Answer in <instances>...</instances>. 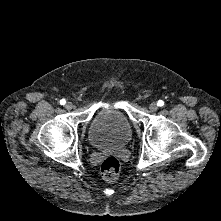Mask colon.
I'll use <instances>...</instances> for the list:
<instances>
[{"instance_id": "5ec220e1", "label": "colon", "mask_w": 221, "mask_h": 221, "mask_svg": "<svg viewBox=\"0 0 221 221\" xmlns=\"http://www.w3.org/2000/svg\"><path fill=\"white\" fill-rule=\"evenodd\" d=\"M100 171L106 181H115L120 173V162L114 156H107L103 159Z\"/></svg>"}]
</instances>
